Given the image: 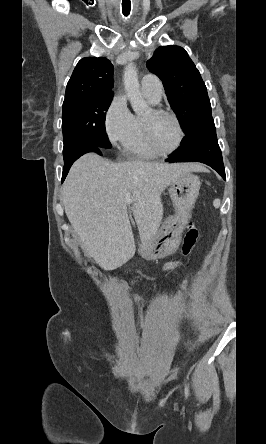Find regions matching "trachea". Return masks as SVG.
<instances>
[{"label": "trachea", "instance_id": "3493384b", "mask_svg": "<svg viewBox=\"0 0 266 444\" xmlns=\"http://www.w3.org/2000/svg\"><path fill=\"white\" fill-rule=\"evenodd\" d=\"M122 6H123V15L127 17L130 14V10H131L130 2L122 3Z\"/></svg>", "mask_w": 266, "mask_h": 444}]
</instances>
